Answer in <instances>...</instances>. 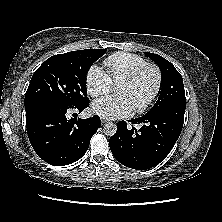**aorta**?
I'll return each mask as SVG.
<instances>
[{"instance_id": "762f6f07", "label": "aorta", "mask_w": 222, "mask_h": 222, "mask_svg": "<svg viewBox=\"0 0 222 222\" xmlns=\"http://www.w3.org/2000/svg\"><path fill=\"white\" fill-rule=\"evenodd\" d=\"M117 131V127L114 123H107L104 125V133L107 136H113Z\"/></svg>"}]
</instances>
